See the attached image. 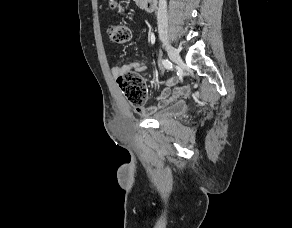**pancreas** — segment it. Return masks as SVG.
I'll list each match as a JSON object with an SVG mask.
<instances>
[{"label": "pancreas", "mask_w": 292, "mask_h": 228, "mask_svg": "<svg viewBox=\"0 0 292 228\" xmlns=\"http://www.w3.org/2000/svg\"><path fill=\"white\" fill-rule=\"evenodd\" d=\"M142 0H136L137 3L141 2Z\"/></svg>", "instance_id": "1"}]
</instances>
